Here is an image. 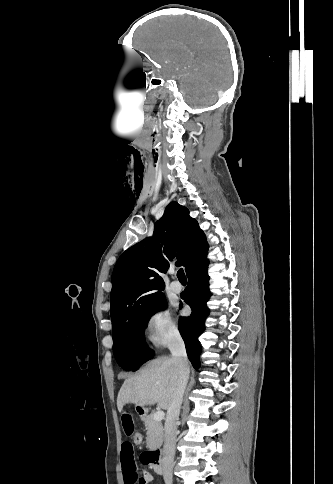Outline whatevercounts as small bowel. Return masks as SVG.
I'll use <instances>...</instances> for the list:
<instances>
[{
  "instance_id": "small-bowel-1",
  "label": "small bowel",
  "mask_w": 333,
  "mask_h": 484,
  "mask_svg": "<svg viewBox=\"0 0 333 484\" xmlns=\"http://www.w3.org/2000/svg\"><path fill=\"white\" fill-rule=\"evenodd\" d=\"M121 426L124 434L128 437L136 433L135 420L130 412L124 411L122 413ZM121 467L124 484H149L153 480L152 475L146 470H143L141 474L138 473L134 447L129 441L124 442L121 447Z\"/></svg>"
}]
</instances>
